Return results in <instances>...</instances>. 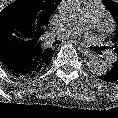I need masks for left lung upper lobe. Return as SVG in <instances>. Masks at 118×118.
Listing matches in <instances>:
<instances>
[{"label": "left lung upper lobe", "mask_w": 118, "mask_h": 118, "mask_svg": "<svg viewBox=\"0 0 118 118\" xmlns=\"http://www.w3.org/2000/svg\"><path fill=\"white\" fill-rule=\"evenodd\" d=\"M104 5L114 15L116 21V32L114 38L112 39L113 45L109 48H111L116 55V60L112 65L118 67V3L112 0H104Z\"/></svg>", "instance_id": "obj_1"}]
</instances>
